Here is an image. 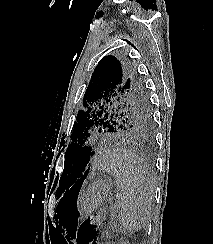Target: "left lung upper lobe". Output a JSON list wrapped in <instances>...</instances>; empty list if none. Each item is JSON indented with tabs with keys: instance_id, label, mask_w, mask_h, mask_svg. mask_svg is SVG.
Returning <instances> with one entry per match:
<instances>
[{
	"instance_id": "left-lung-upper-lobe-1",
	"label": "left lung upper lobe",
	"mask_w": 213,
	"mask_h": 244,
	"mask_svg": "<svg viewBox=\"0 0 213 244\" xmlns=\"http://www.w3.org/2000/svg\"><path fill=\"white\" fill-rule=\"evenodd\" d=\"M83 106L74 122L73 142L65 153L58 191L70 188L79 178L83 159L90 153L84 144L91 128L99 133H125L140 139H150L153 134L152 107L142 79L132 64H121L112 55L97 64Z\"/></svg>"
}]
</instances>
